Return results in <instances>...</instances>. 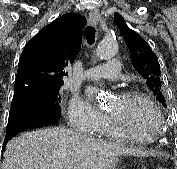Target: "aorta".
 I'll use <instances>...</instances> for the list:
<instances>
[{
	"label": "aorta",
	"instance_id": "obj_1",
	"mask_svg": "<svg viewBox=\"0 0 177 169\" xmlns=\"http://www.w3.org/2000/svg\"><path fill=\"white\" fill-rule=\"evenodd\" d=\"M117 49L118 46L114 39H106L98 44L96 55L102 60H107L116 55Z\"/></svg>",
	"mask_w": 177,
	"mask_h": 169
}]
</instances>
